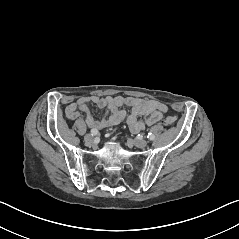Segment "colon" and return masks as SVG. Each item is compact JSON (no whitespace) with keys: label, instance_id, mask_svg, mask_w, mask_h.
Instances as JSON below:
<instances>
[{"label":"colon","instance_id":"colon-1","mask_svg":"<svg viewBox=\"0 0 239 239\" xmlns=\"http://www.w3.org/2000/svg\"><path fill=\"white\" fill-rule=\"evenodd\" d=\"M176 117L173 115L167 116L164 120V124L167 126H171L175 123Z\"/></svg>","mask_w":239,"mask_h":239}]
</instances>
